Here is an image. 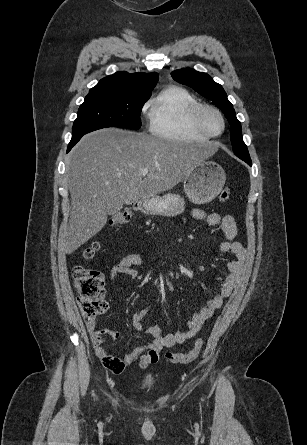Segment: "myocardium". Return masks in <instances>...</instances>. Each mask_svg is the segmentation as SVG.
<instances>
[{"label": "myocardium", "mask_w": 307, "mask_h": 445, "mask_svg": "<svg viewBox=\"0 0 307 445\" xmlns=\"http://www.w3.org/2000/svg\"><path fill=\"white\" fill-rule=\"evenodd\" d=\"M212 114H217L223 121V130L220 133H213L209 124V118ZM198 123L201 130L204 132L206 136L209 137H219L221 136L227 128V119L225 114L215 106H204L198 112Z\"/></svg>", "instance_id": "obj_1"}]
</instances>
